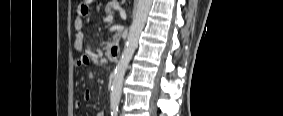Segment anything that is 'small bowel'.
<instances>
[{"label": "small bowel", "mask_w": 283, "mask_h": 116, "mask_svg": "<svg viewBox=\"0 0 283 116\" xmlns=\"http://www.w3.org/2000/svg\"><path fill=\"white\" fill-rule=\"evenodd\" d=\"M78 14L80 16H83L86 13V9L83 5H81L78 8ZM74 30H75V35H74V39H73V45L75 47V49L77 50H81L82 46H83V38H84V21L81 17H76L74 19ZM91 59L87 56H83L80 59H78L76 61V67L77 68H81L83 66H86L90 63ZM83 100L84 101H90L93 98V93L90 90H85L83 92ZM75 107L77 109H79L81 107V103L80 102H76ZM105 112L104 111H100L97 116H104Z\"/></svg>", "instance_id": "obj_1"}]
</instances>
